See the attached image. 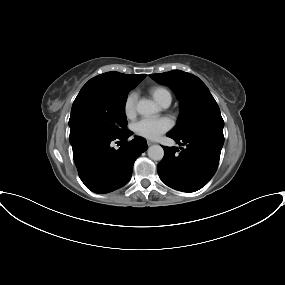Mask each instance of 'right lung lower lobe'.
<instances>
[{"label":"right lung lower lobe","mask_w":285,"mask_h":285,"mask_svg":"<svg viewBox=\"0 0 285 285\" xmlns=\"http://www.w3.org/2000/svg\"><path fill=\"white\" fill-rule=\"evenodd\" d=\"M131 134L129 130L118 136L91 133L70 142L80 179L89 190L104 194L129 181L135 160L147 149L142 137L128 142ZM112 141H122V146L115 150Z\"/></svg>","instance_id":"98d812e1"}]
</instances>
